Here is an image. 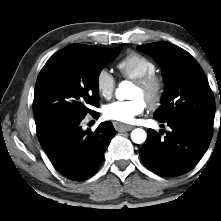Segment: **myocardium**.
Segmentation results:
<instances>
[{"label":"myocardium","instance_id":"1","mask_svg":"<svg viewBox=\"0 0 221 221\" xmlns=\"http://www.w3.org/2000/svg\"><path fill=\"white\" fill-rule=\"evenodd\" d=\"M134 84L144 92V102L150 109L160 106L165 91V82L160 75L153 73L143 76L135 79Z\"/></svg>","mask_w":221,"mask_h":221}]
</instances>
